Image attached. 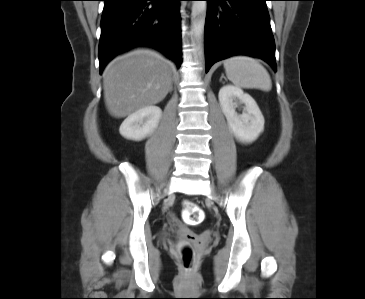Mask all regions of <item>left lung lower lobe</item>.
I'll use <instances>...</instances> for the list:
<instances>
[{
	"label": "left lung lower lobe",
	"instance_id": "left-lung-lower-lobe-1",
	"mask_svg": "<svg viewBox=\"0 0 365 299\" xmlns=\"http://www.w3.org/2000/svg\"><path fill=\"white\" fill-rule=\"evenodd\" d=\"M206 72L233 55L265 60L275 71V42L267 0H206Z\"/></svg>",
	"mask_w": 365,
	"mask_h": 299
}]
</instances>
